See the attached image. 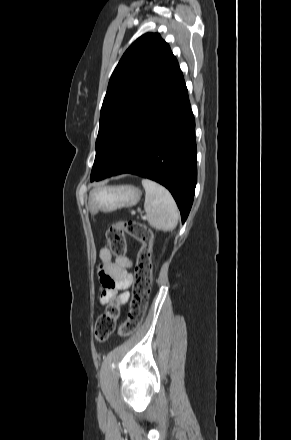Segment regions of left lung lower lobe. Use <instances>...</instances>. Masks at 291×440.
Listing matches in <instances>:
<instances>
[{
  "label": "left lung lower lobe",
  "instance_id": "left-lung-lower-lobe-1",
  "mask_svg": "<svg viewBox=\"0 0 291 440\" xmlns=\"http://www.w3.org/2000/svg\"><path fill=\"white\" fill-rule=\"evenodd\" d=\"M130 173L154 180L173 195L184 223L197 181L195 120L178 68L139 115L91 181Z\"/></svg>",
  "mask_w": 291,
  "mask_h": 440
}]
</instances>
